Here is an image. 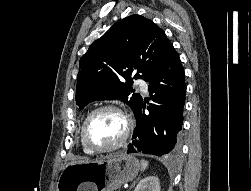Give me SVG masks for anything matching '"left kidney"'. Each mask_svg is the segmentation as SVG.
Instances as JSON below:
<instances>
[{"label":"left kidney","mask_w":251,"mask_h":191,"mask_svg":"<svg viewBox=\"0 0 251 191\" xmlns=\"http://www.w3.org/2000/svg\"><path fill=\"white\" fill-rule=\"evenodd\" d=\"M134 191H160V181L157 175H148L144 179H140Z\"/></svg>","instance_id":"1"}]
</instances>
